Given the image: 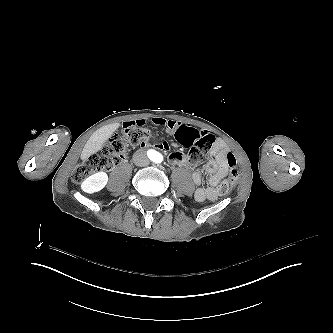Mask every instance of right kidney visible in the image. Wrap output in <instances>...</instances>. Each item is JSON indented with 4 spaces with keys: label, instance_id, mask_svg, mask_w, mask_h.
I'll return each instance as SVG.
<instances>
[{
    "label": "right kidney",
    "instance_id": "obj_1",
    "mask_svg": "<svg viewBox=\"0 0 333 333\" xmlns=\"http://www.w3.org/2000/svg\"><path fill=\"white\" fill-rule=\"evenodd\" d=\"M108 182V175L105 172L95 173L86 178L82 184L81 189L89 194L102 190Z\"/></svg>",
    "mask_w": 333,
    "mask_h": 333
}]
</instances>
